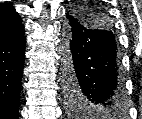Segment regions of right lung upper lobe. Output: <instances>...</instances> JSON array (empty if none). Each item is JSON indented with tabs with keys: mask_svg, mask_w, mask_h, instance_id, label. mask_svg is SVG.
I'll use <instances>...</instances> for the list:
<instances>
[{
	"mask_svg": "<svg viewBox=\"0 0 142 119\" xmlns=\"http://www.w3.org/2000/svg\"><path fill=\"white\" fill-rule=\"evenodd\" d=\"M24 29L22 20L11 4L0 5V40L15 36Z\"/></svg>",
	"mask_w": 142,
	"mask_h": 119,
	"instance_id": "1",
	"label": "right lung upper lobe"
}]
</instances>
